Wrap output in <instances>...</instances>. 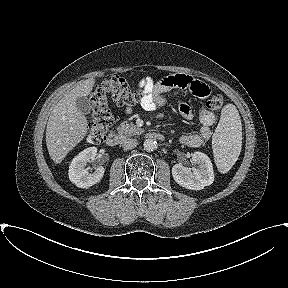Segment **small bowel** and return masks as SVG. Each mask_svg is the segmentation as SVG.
Wrapping results in <instances>:
<instances>
[{
	"label": "small bowel",
	"instance_id": "obj_1",
	"mask_svg": "<svg viewBox=\"0 0 288 288\" xmlns=\"http://www.w3.org/2000/svg\"><path fill=\"white\" fill-rule=\"evenodd\" d=\"M138 85L144 91L141 106L147 111L163 107L166 103L163 94L169 91L180 92L188 89L194 95L201 98H207L211 92L206 84L183 74L168 76L159 81H154L152 78H144ZM178 110L183 118L187 120L192 119V111L186 103L179 101ZM125 113L131 114L132 108L126 107ZM199 120L201 123L199 133H185L181 135L180 142L182 144L189 147H198L210 139L211 126L216 120L215 114L209 108L203 106L199 111Z\"/></svg>",
	"mask_w": 288,
	"mask_h": 288
}]
</instances>
